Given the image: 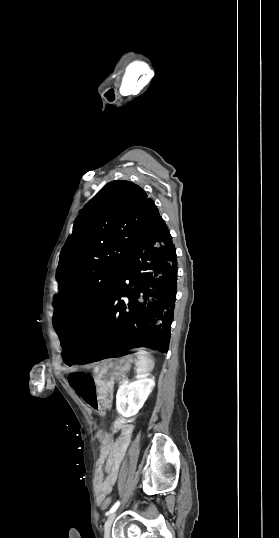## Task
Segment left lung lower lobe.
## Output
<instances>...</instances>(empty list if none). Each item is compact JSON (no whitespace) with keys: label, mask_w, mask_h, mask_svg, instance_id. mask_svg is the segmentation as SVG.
Here are the masks:
<instances>
[{"label":"left lung lower lobe","mask_w":279,"mask_h":538,"mask_svg":"<svg viewBox=\"0 0 279 538\" xmlns=\"http://www.w3.org/2000/svg\"><path fill=\"white\" fill-rule=\"evenodd\" d=\"M176 283L174 244L165 222L158 217L128 258L92 326L83 333L59 335L65 363L86 364L137 347L166 353Z\"/></svg>","instance_id":"0a47b994"}]
</instances>
